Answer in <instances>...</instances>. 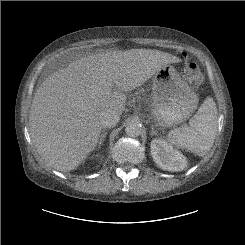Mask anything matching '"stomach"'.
<instances>
[{
	"instance_id": "1",
	"label": "stomach",
	"mask_w": 245,
	"mask_h": 245,
	"mask_svg": "<svg viewBox=\"0 0 245 245\" xmlns=\"http://www.w3.org/2000/svg\"><path fill=\"white\" fill-rule=\"evenodd\" d=\"M152 82V117L157 125L175 127L195 112L199 98L175 67H162Z\"/></svg>"
}]
</instances>
